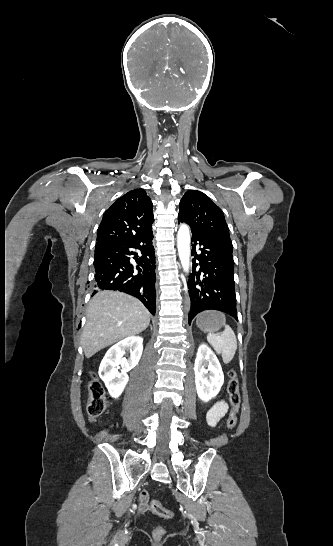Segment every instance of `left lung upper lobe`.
<instances>
[{"label": "left lung upper lobe", "mask_w": 333, "mask_h": 546, "mask_svg": "<svg viewBox=\"0 0 333 546\" xmlns=\"http://www.w3.org/2000/svg\"><path fill=\"white\" fill-rule=\"evenodd\" d=\"M178 220L191 229L215 235L231 242L222 210L208 196L197 190L187 191L180 201Z\"/></svg>", "instance_id": "1"}]
</instances>
